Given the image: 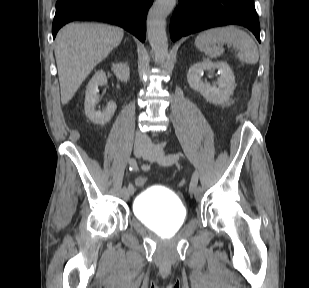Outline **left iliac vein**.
<instances>
[{"label": "left iliac vein", "instance_id": "1", "mask_svg": "<svg viewBox=\"0 0 309 288\" xmlns=\"http://www.w3.org/2000/svg\"><path fill=\"white\" fill-rule=\"evenodd\" d=\"M144 159H147L151 162H159L162 163V160L164 158V152L158 148V147H149L148 148V154H146L144 157ZM193 192L190 191V194H192ZM202 188L201 187H196L194 194H195V198L196 199H200L202 197Z\"/></svg>", "mask_w": 309, "mask_h": 288}]
</instances>
